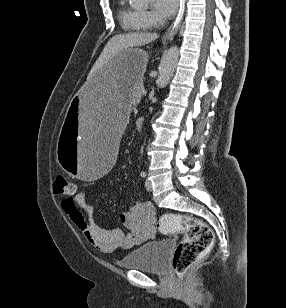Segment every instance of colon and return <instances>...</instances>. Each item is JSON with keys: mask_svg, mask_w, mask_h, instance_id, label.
<instances>
[{"mask_svg": "<svg viewBox=\"0 0 286 308\" xmlns=\"http://www.w3.org/2000/svg\"><path fill=\"white\" fill-rule=\"evenodd\" d=\"M53 189L57 195L70 197L75 192V184L60 176L54 181ZM158 228L164 234L184 233V238L177 245L173 254V269L180 279H183L188 269L210 250L214 242L211 228L191 216L163 214L159 220Z\"/></svg>", "mask_w": 286, "mask_h": 308, "instance_id": "obj_1", "label": "colon"}]
</instances>
